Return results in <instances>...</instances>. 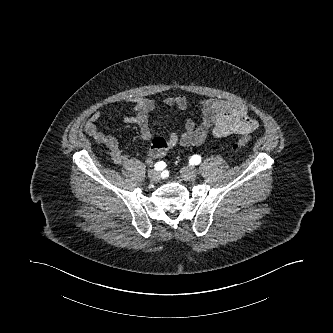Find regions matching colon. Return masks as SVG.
Here are the masks:
<instances>
[{"label": "colon", "mask_w": 333, "mask_h": 333, "mask_svg": "<svg viewBox=\"0 0 333 333\" xmlns=\"http://www.w3.org/2000/svg\"><path fill=\"white\" fill-rule=\"evenodd\" d=\"M249 144V138L248 137H241L237 141L238 147H245Z\"/></svg>", "instance_id": "obj_1"}]
</instances>
